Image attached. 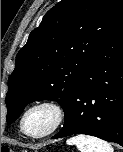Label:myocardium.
Here are the masks:
<instances>
[{
    "mask_svg": "<svg viewBox=\"0 0 123 152\" xmlns=\"http://www.w3.org/2000/svg\"><path fill=\"white\" fill-rule=\"evenodd\" d=\"M43 107L49 108L54 113V117H55L54 122L51 125V127L47 129L46 131H44L43 133L31 134L25 128L26 117L34 109L43 108ZM64 120H65V110L63 106L55 100L47 99V100H41V101H37L33 103L24 111L20 120V127H21L22 132L28 137L40 139V138H45L47 136H50L55 131H57L60 128V126L63 124Z\"/></svg>",
    "mask_w": 123,
    "mask_h": 152,
    "instance_id": "1",
    "label": "myocardium"
}]
</instances>
